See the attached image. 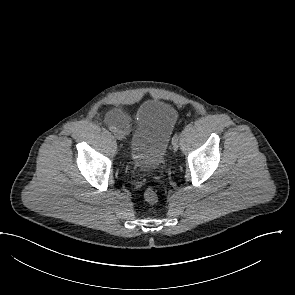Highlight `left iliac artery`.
<instances>
[{"mask_svg": "<svg viewBox=\"0 0 295 295\" xmlns=\"http://www.w3.org/2000/svg\"><path fill=\"white\" fill-rule=\"evenodd\" d=\"M178 138H179V134L178 133H175L173 138H172V142L174 141H178Z\"/></svg>", "mask_w": 295, "mask_h": 295, "instance_id": "left-iliac-artery-1", "label": "left iliac artery"}]
</instances>
